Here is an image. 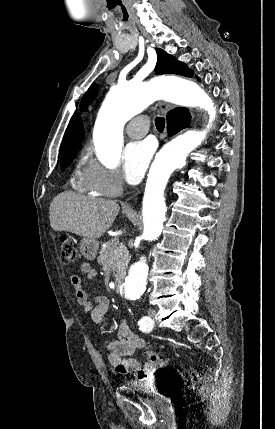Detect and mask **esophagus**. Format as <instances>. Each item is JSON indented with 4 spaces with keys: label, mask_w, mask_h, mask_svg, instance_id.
I'll use <instances>...</instances> for the list:
<instances>
[{
    "label": "esophagus",
    "mask_w": 275,
    "mask_h": 429,
    "mask_svg": "<svg viewBox=\"0 0 275 429\" xmlns=\"http://www.w3.org/2000/svg\"><path fill=\"white\" fill-rule=\"evenodd\" d=\"M159 107L160 110L162 111L163 114H166L169 110L173 109V107L165 102H160L159 103ZM140 192L138 191L135 195V197L139 194Z\"/></svg>",
    "instance_id": "1"
}]
</instances>
